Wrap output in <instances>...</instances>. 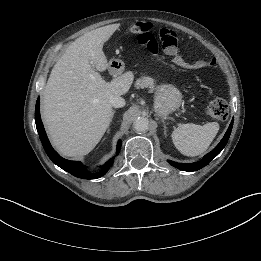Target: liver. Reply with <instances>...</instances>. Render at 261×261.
I'll return each mask as SVG.
<instances>
[{
	"label": "liver",
	"instance_id": "liver-1",
	"mask_svg": "<svg viewBox=\"0 0 261 261\" xmlns=\"http://www.w3.org/2000/svg\"><path fill=\"white\" fill-rule=\"evenodd\" d=\"M111 34L103 27L77 38L54 65L44 88L42 118L64 156L80 157L94 149L112 121L110 97L127 93L132 84L131 72L111 82L98 73L108 67L102 48Z\"/></svg>",
	"mask_w": 261,
	"mask_h": 261
}]
</instances>
